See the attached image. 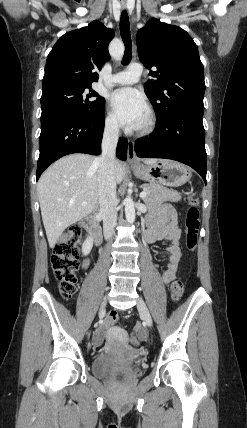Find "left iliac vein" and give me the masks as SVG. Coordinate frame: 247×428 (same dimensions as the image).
Wrapping results in <instances>:
<instances>
[{
	"label": "left iliac vein",
	"instance_id": "1",
	"mask_svg": "<svg viewBox=\"0 0 247 428\" xmlns=\"http://www.w3.org/2000/svg\"><path fill=\"white\" fill-rule=\"evenodd\" d=\"M137 308H138L141 316L143 317L145 323L147 324V326L151 327L152 326V318H151L150 312H149V310H148V308H147V306H146V304L142 298L138 299Z\"/></svg>",
	"mask_w": 247,
	"mask_h": 428
}]
</instances>
